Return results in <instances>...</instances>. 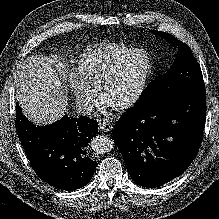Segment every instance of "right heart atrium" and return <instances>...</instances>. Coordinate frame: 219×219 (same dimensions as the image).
<instances>
[{
	"label": "right heart atrium",
	"mask_w": 219,
	"mask_h": 219,
	"mask_svg": "<svg viewBox=\"0 0 219 219\" xmlns=\"http://www.w3.org/2000/svg\"><path fill=\"white\" fill-rule=\"evenodd\" d=\"M69 88L71 89L75 102L82 112H90L96 104L97 91L90 87L76 75L71 77L68 81Z\"/></svg>",
	"instance_id": "obj_1"
}]
</instances>
